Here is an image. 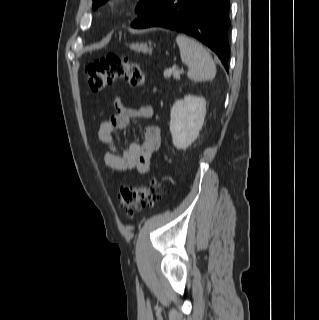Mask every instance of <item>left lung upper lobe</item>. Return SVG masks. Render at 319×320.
Listing matches in <instances>:
<instances>
[{
    "mask_svg": "<svg viewBox=\"0 0 319 320\" xmlns=\"http://www.w3.org/2000/svg\"><path fill=\"white\" fill-rule=\"evenodd\" d=\"M106 1L107 0H93V9H97L101 4L105 3ZM158 2L159 0H140L137 7L138 18L146 15Z\"/></svg>",
    "mask_w": 319,
    "mask_h": 320,
    "instance_id": "obj_1",
    "label": "left lung upper lobe"
}]
</instances>
